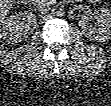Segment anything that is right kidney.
I'll list each match as a JSON object with an SVG mask.
<instances>
[{"instance_id":"right-kidney-1","label":"right kidney","mask_w":111,"mask_h":106,"mask_svg":"<svg viewBox=\"0 0 111 106\" xmlns=\"http://www.w3.org/2000/svg\"><path fill=\"white\" fill-rule=\"evenodd\" d=\"M36 17L28 11L12 14L2 20L1 37L8 43H17L33 32Z\"/></svg>"}]
</instances>
